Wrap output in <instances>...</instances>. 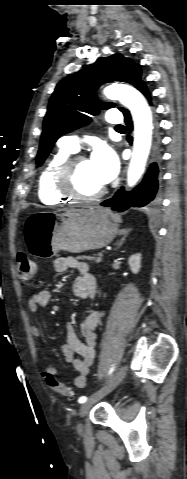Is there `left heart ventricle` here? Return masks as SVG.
<instances>
[{
    "instance_id": "left-heart-ventricle-1",
    "label": "left heart ventricle",
    "mask_w": 187,
    "mask_h": 479,
    "mask_svg": "<svg viewBox=\"0 0 187 479\" xmlns=\"http://www.w3.org/2000/svg\"><path fill=\"white\" fill-rule=\"evenodd\" d=\"M75 186L83 195H92L103 187L94 173L89 159L79 162L75 174Z\"/></svg>"
}]
</instances>
